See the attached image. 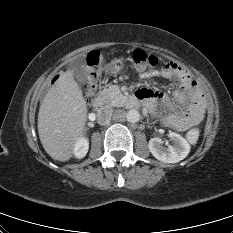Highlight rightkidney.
I'll return each instance as SVG.
<instances>
[{
    "label": "right kidney",
    "instance_id": "right-kidney-1",
    "mask_svg": "<svg viewBox=\"0 0 233 233\" xmlns=\"http://www.w3.org/2000/svg\"><path fill=\"white\" fill-rule=\"evenodd\" d=\"M89 149L88 139L85 137L79 138L74 145V155L76 158H83Z\"/></svg>",
    "mask_w": 233,
    "mask_h": 233
}]
</instances>
